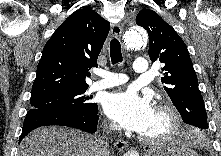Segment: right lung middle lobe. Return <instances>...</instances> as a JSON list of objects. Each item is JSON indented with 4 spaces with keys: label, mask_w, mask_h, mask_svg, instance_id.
<instances>
[{
    "label": "right lung middle lobe",
    "mask_w": 221,
    "mask_h": 156,
    "mask_svg": "<svg viewBox=\"0 0 221 156\" xmlns=\"http://www.w3.org/2000/svg\"><path fill=\"white\" fill-rule=\"evenodd\" d=\"M75 90L31 99V109L48 111L92 112L98 108L96 103L88 102L85 91Z\"/></svg>",
    "instance_id": "dd1d6c3e"
}]
</instances>
